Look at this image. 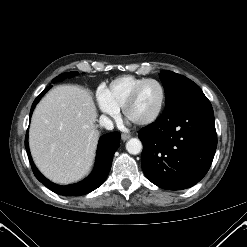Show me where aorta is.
<instances>
[{
	"instance_id": "aorta-1",
	"label": "aorta",
	"mask_w": 247,
	"mask_h": 247,
	"mask_svg": "<svg viewBox=\"0 0 247 247\" xmlns=\"http://www.w3.org/2000/svg\"><path fill=\"white\" fill-rule=\"evenodd\" d=\"M126 150L133 155L139 154L142 151V143L137 138H131L126 143Z\"/></svg>"
}]
</instances>
